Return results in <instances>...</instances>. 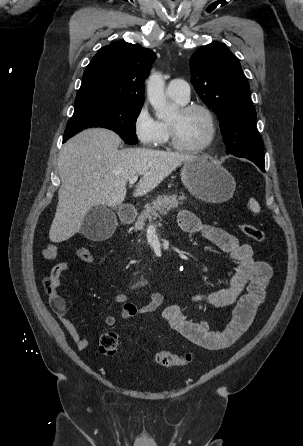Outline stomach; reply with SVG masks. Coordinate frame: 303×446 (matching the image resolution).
I'll return each instance as SVG.
<instances>
[{
    "label": "stomach",
    "instance_id": "1",
    "mask_svg": "<svg viewBox=\"0 0 303 446\" xmlns=\"http://www.w3.org/2000/svg\"><path fill=\"white\" fill-rule=\"evenodd\" d=\"M181 180L193 196L205 202L228 201L236 188L234 177L225 168L201 157L184 163Z\"/></svg>",
    "mask_w": 303,
    "mask_h": 446
}]
</instances>
